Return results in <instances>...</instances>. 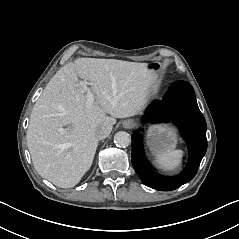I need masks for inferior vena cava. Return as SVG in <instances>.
<instances>
[{
    "mask_svg": "<svg viewBox=\"0 0 239 239\" xmlns=\"http://www.w3.org/2000/svg\"><path fill=\"white\" fill-rule=\"evenodd\" d=\"M112 130V125L110 123H104L102 124L97 130H96V137L101 140L105 139L109 136Z\"/></svg>",
    "mask_w": 239,
    "mask_h": 239,
    "instance_id": "1",
    "label": "inferior vena cava"
}]
</instances>
